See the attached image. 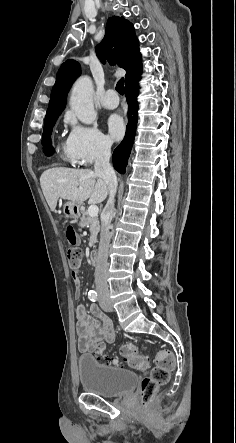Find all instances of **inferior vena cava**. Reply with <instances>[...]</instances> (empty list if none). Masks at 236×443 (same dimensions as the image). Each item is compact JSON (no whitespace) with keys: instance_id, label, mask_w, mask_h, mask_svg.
I'll list each match as a JSON object with an SVG mask.
<instances>
[{"instance_id":"obj_1","label":"inferior vena cava","mask_w":236,"mask_h":443,"mask_svg":"<svg viewBox=\"0 0 236 443\" xmlns=\"http://www.w3.org/2000/svg\"><path fill=\"white\" fill-rule=\"evenodd\" d=\"M112 140L103 138L100 148L95 155V174L101 177L108 187L109 198L103 210L100 242L95 267V285L100 305L111 303L107 284V259L110 243L109 225L113 218L115 194L117 190V177L113 167L110 165Z\"/></svg>"}]
</instances>
